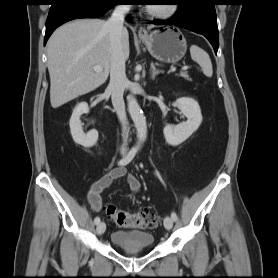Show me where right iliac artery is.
I'll list each match as a JSON object with an SVG mask.
<instances>
[{
	"label": "right iliac artery",
	"instance_id": "right-iliac-artery-1",
	"mask_svg": "<svg viewBox=\"0 0 278 278\" xmlns=\"http://www.w3.org/2000/svg\"><path fill=\"white\" fill-rule=\"evenodd\" d=\"M135 154H136V149H131V150L128 152V154L118 162V165H120V166H125V165H127L129 162L132 161V159L134 158ZM94 223H95L96 225L99 224V223H100V218H99V217H96V218L94 219Z\"/></svg>",
	"mask_w": 278,
	"mask_h": 278
}]
</instances>
